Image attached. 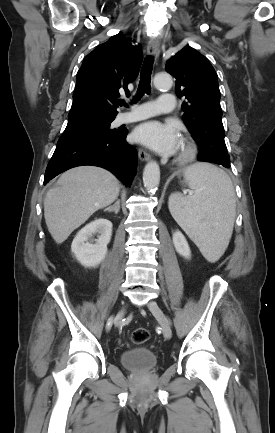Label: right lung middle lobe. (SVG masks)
I'll return each instance as SVG.
<instances>
[{
	"mask_svg": "<svg viewBox=\"0 0 275 433\" xmlns=\"http://www.w3.org/2000/svg\"><path fill=\"white\" fill-rule=\"evenodd\" d=\"M115 119V116L105 115H86L75 118H69L68 124L63 134L76 132H94L98 134H111L117 130L110 129V123Z\"/></svg>",
	"mask_w": 275,
	"mask_h": 433,
	"instance_id": "obj_1",
	"label": "right lung middle lobe"
}]
</instances>
